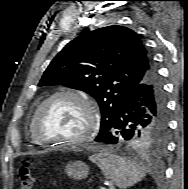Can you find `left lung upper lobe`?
<instances>
[{
    "label": "left lung upper lobe",
    "instance_id": "left-lung-upper-lobe-1",
    "mask_svg": "<svg viewBox=\"0 0 188 189\" xmlns=\"http://www.w3.org/2000/svg\"><path fill=\"white\" fill-rule=\"evenodd\" d=\"M153 68L152 57L137 33L107 26L68 43L45 70L39 86L63 85L93 96L101 110L100 137L112 126L130 91ZM165 132L146 129L129 145L160 151Z\"/></svg>",
    "mask_w": 188,
    "mask_h": 189
}]
</instances>
